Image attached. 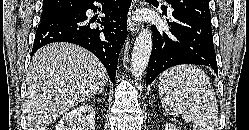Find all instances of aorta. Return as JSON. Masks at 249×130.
<instances>
[{
  "label": "aorta",
  "instance_id": "1",
  "mask_svg": "<svg viewBox=\"0 0 249 130\" xmlns=\"http://www.w3.org/2000/svg\"><path fill=\"white\" fill-rule=\"evenodd\" d=\"M152 51V34L150 30L142 29L135 40L132 59L131 72L135 79L140 80L150 59Z\"/></svg>",
  "mask_w": 249,
  "mask_h": 130
}]
</instances>
